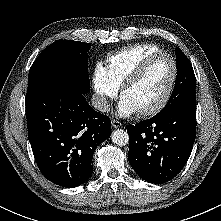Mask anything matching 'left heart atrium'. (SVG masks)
<instances>
[{
    "mask_svg": "<svg viewBox=\"0 0 221 221\" xmlns=\"http://www.w3.org/2000/svg\"><path fill=\"white\" fill-rule=\"evenodd\" d=\"M137 111L138 110L136 109V107L126 97L123 96L121 98L117 108V113L119 116L127 117L134 114Z\"/></svg>",
    "mask_w": 221,
    "mask_h": 221,
    "instance_id": "obj_1",
    "label": "left heart atrium"
}]
</instances>
